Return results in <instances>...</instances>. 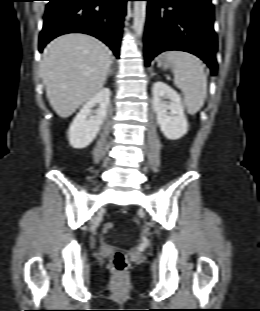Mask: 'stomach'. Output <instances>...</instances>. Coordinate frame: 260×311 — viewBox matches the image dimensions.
Returning a JSON list of instances; mask_svg holds the SVG:
<instances>
[{
	"mask_svg": "<svg viewBox=\"0 0 260 311\" xmlns=\"http://www.w3.org/2000/svg\"><path fill=\"white\" fill-rule=\"evenodd\" d=\"M158 67H161L163 69H168L173 67V64L170 63L169 61H167L166 59V54L162 55L159 59H158Z\"/></svg>",
	"mask_w": 260,
	"mask_h": 311,
	"instance_id": "stomach-1",
	"label": "stomach"
}]
</instances>
